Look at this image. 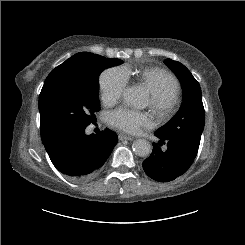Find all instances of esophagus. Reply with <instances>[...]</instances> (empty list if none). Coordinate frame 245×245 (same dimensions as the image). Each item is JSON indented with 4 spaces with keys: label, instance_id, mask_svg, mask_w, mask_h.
Returning a JSON list of instances; mask_svg holds the SVG:
<instances>
[{
    "label": "esophagus",
    "instance_id": "obj_1",
    "mask_svg": "<svg viewBox=\"0 0 245 245\" xmlns=\"http://www.w3.org/2000/svg\"><path fill=\"white\" fill-rule=\"evenodd\" d=\"M118 138H119L120 141H124V140L132 141L134 139V137L128 136V135H125V134H119Z\"/></svg>",
    "mask_w": 245,
    "mask_h": 245
}]
</instances>
